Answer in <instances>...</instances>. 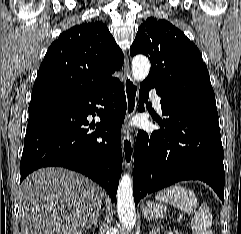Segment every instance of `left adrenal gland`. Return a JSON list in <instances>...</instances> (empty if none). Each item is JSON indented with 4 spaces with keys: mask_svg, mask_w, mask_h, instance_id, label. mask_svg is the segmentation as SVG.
<instances>
[{
    "mask_svg": "<svg viewBox=\"0 0 241 234\" xmlns=\"http://www.w3.org/2000/svg\"><path fill=\"white\" fill-rule=\"evenodd\" d=\"M149 234H157V230L155 229V227L153 225L151 227V231Z\"/></svg>",
    "mask_w": 241,
    "mask_h": 234,
    "instance_id": "left-adrenal-gland-1",
    "label": "left adrenal gland"
}]
</instances>
